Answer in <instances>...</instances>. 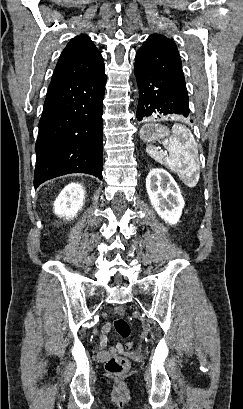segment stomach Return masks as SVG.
I'll use <instances>...</instances> for the list:
<instances>
[{
  "label": "stomach",
  "instance_id": "1",
  "mask_svg": "<svg viewBox=\"0 0 243 409\" xmlns=\"http://www.w3.org/2000/svg\"><path fill=\"white\" fill-rule=\"evenodd\" d=\"M170 136V131L157 123H147L140 130L144 142L160 141Z\"/></svg>",
  "mask_w": 243,
  "mask_h": 409
}]
</instances>
